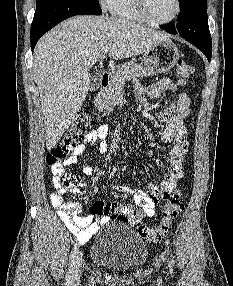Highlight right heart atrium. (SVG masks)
Instances as JSON below:
<instances>
[{"mask_svg":"<svg viewBox=\"0 0 233 286\" xmlns=\"http://www.w3.org/2000/svg\"><path fill=\"white\" fill-rule=\"evenodd\" d=\"M109 0H101V4L104 8H107Z\"/></svg>","mask_w":233,"mask_h":286,"instance_id":"right-heart-atrium-1","label":"right heart atrium"}]
</instances>
